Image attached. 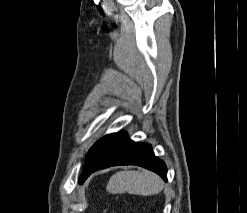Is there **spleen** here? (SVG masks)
I'll list each match as a JSON object with an SVG mask.
<instances>
[{
    "label": "spleen",
    "instance_id": "1",
    "mask_svg": "<svg viewBox=\"0 0 247 213\" xmlns=\"http://www.w3.org/2000/svg\"><path fill=\"white\" fill-rule=\"evenodd\" d=\"M163 182L161 178L150 171H120L114 174L107 185L112 194L129 193L141 196H150L161 192Z\"/></svg>",
    "mask_w": 247,
    "mask_h": 213
}]
</instances>
